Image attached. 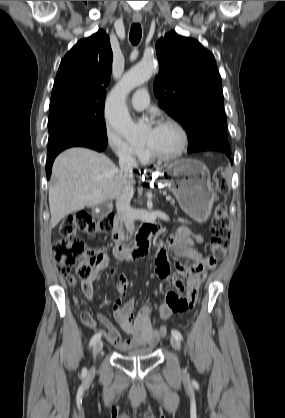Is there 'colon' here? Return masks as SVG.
<instances>
[{"label":"colon","instance_id":"5ec220e1","mask_svg":"<svg viewBox=\"0 0 285 418\" xmlns=\"http://www.w3.org/2000/svg\"><path fill=\"white\" fill-rule=\"evenodd\" d=\"M213 184L223 194L228 191V184L225 181V173L222 167H219L214 172ZM229 222L227 208L223 204L217 205L213 210L211 238L209 242L212 256L205 263V267L208 269H213L216 265V258L224 256L228 250ZM115 223V216L109 215L97 221L84 211H77L64 219L60 223L58 233L53 240L55 260L61 272L68 275L69 270L74 268L79 278H89L93 268L102 262V258L100 256H94L90 260H87L85 245L78 239L77 235L78 233H86L88 235L104 233L113 229ZM165 258V249L162 245H159L156 260H163ZM69 284L73 285L72 282H69ZM192 306L193 303L188 304V308H192ZM156 333L158 337H162L167 333V329L160 327Z\"/></svg>","mask_w":285,"mask_h":418}]
</instances>
